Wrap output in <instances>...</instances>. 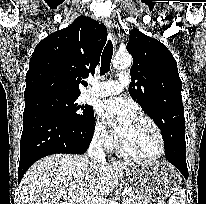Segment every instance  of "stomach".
<instances>
[{
  "instance_id": "obj_1",
  "label": "stomach",
  "mask_w": 206,
  "mask_h": 204,
  "mask_svg": "<svg viewBox=\"0 0 206 204\" xmlns=\"http://www.w3.org/2000/svg\"><path fill=\"white\" fill-rule=\"evenodd\" d=\"M126 176L140 204H163L181 183L177 170L165 162L137 164L126 172Z\"/></svg>"
}]
</instances>
